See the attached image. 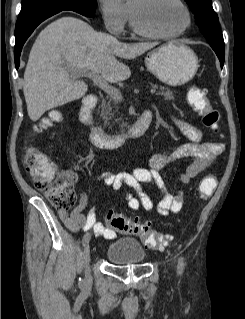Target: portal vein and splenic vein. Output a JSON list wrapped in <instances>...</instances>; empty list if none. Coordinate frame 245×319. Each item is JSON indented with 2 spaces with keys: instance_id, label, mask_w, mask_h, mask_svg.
I'll return each instance as SVG.
<instances>
[{
  "instance_id": "portal-vein-and-splenic-vein-1",
  "label": "portal vein and splenic vein",
  "mask_w": 245,
  "mask_h": 319,
  "mask_svg": "<svg viewBox=\"0 0 245 319\" xmlns=\"http://www.w3.org/2000/svg\"><path fill=\"white\" fill-rule=\"evenodd\" d=\"M75 74H82L85 75L87 77H89L90 79H92L102 90H104L108 95H110L111 98L115 99V100H122L123 99V95L121 93V91L111 85L108 84V82L101 76H99L98 74L94 73V72H80V71H76L74 72ZM156 93V89L155 88H151L150 89V94H155Z\"/></svg>"
}]
</instances>
